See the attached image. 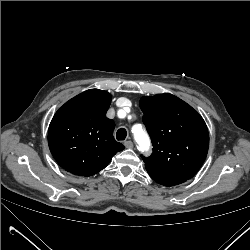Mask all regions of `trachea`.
<instances>
[{"mask_svg": "<svg viewBox=\"0 0 250 250\" xmlns=\"http://www.w3.org/2000/svg\"><path fill=\"white\" fill-rule=\"evenodd\" d=\"M127 136V131L124 128H120L116 133V138L119 141L125 140Z\"/></svg>", "mask_w": 250, "mask_h": 250, "instance_id": "obj_1", "label": "trachea"}]
</instances>
